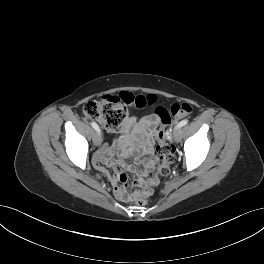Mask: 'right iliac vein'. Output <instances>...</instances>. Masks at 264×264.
<instances>
[{"label":"right iliac vein","mask_w":264,"mask_h":264,"mask_svg":"<svg viewBox=\"0 0 264 264\" xmlns=\"http://www.w3.org/2000/svg\"><path fill=\"white\" fill-rule=\"evenodd\" d=\"M94 143L97 146L101 145L102 143V136L99 132L94 135Z\"/></svg>","instance_id":"1"}]
</instances>
